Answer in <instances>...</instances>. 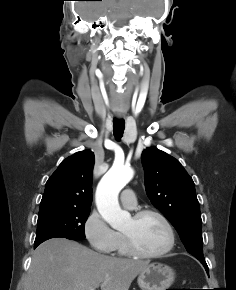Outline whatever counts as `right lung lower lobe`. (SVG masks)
Wrapping results in <instances>:
<instances>
[{
	"instance_id": "obj_1",
	"label": "right lung lower lobe",
	"mask_w": 236,
	"mask_h": 290,
	"mask_svg": "<svg viewBox=\"0 0 236 290\" xmlns=\"http://www.w3.org/2000/svg\"><path fill=\"white\" fill-rule=\"evenodd\" d=\"M38 245H34V249L37 247Z\"/></svg>"
}]
</instances>
